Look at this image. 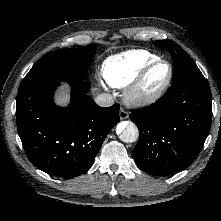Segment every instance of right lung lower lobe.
<instances>
[{
  "mask_svg": "<svg viewBox=\"0 0 221 221\" xmlns=\"http://www.w3.org/2000/svg\"><path fill=\"white\" fill-rule=\"evenodd\" d=\"M71 102L58 108L53 94L60 81L20 89L17 129L30 162L57 177H76L92 165L105 137L120 121L118 104L100 107L87 95L84 80L68 81Z\"/></svg>",
  "mask_w": 221,
  "mask_h": 221,
  "instance_id": "obj_1",
  "label": "right lung lower lobe"
}]
</instances>
